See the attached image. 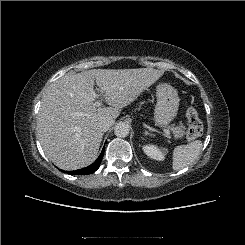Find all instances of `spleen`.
Listing matches in <instances>:
<instances>
[{"label": "spleen", "mask_w": 245, "mask_h": 245, "mask_svg": "<svg viewBox=\"0 0 245 245\" xmlns=\"http://www.w3.org/2000/svg\"><path fill=\"white\" fill-rule=\"evenodd\" d=\"M202 149V142L200 140L192 141L186 145L176 146L173 150V170H181L195 161Z\"/></svg>", "instance_id": "spleen-1"}]
</instances>
